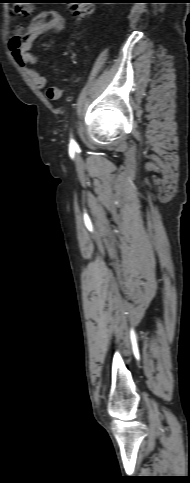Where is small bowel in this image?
I'll use <instances>...</instances> for the list:
<instances>
[{"instance_id": "1", "label": "small bowel", "mask_w": 190, "mask_h": 483, "mask_svg": "<svg viewBox=\"0 0 190 483\" xmlns=\"http://www.w3.org/2000/svg\"><path fill=\"white\" fill-rule=\"evenodd\" d=\"M65 29L64 18L54 10L42 11L37 14L25 31L17 28L13 31L8 42V49L14 61L24 69L31 82L37 87L44 88L48 84L49 75L31 67L37 64L39 58L31 52L36 39L47 31L60 33ZM62 89L57 85L48 86L46 95L56 100L61 97Z\"/></svg>"}]
</instances>
